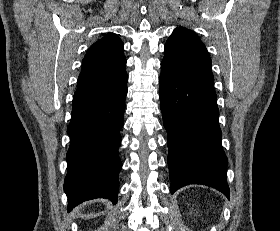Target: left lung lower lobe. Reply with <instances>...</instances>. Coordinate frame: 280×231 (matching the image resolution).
I'll use <instances>...</instances> for the list:
<instances>
[{
	"label": "left lung lower lobe",
	"instance_id": "0a47b994",
	"mask_svg": "<svg viewBox=\"0 0 280 231\" xmlns=\"http://www.w3.org/2000/svg\"><path fill=\"white\" fill-rule=\"evenodd\" d=\"M159 95L168 133L171 193L189 184H203L229 199L213 80L179 79L161 68Z\"/></svg>",
	"mask_w": 280,
	"mask_h": 231
}]
</instances>
